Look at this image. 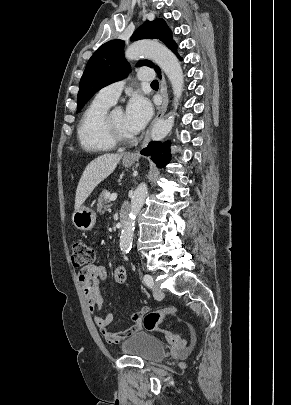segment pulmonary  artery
Here are the masks:
<instances>
[{
	"label": "pulmonary artery",
	"mask_w": 291,
	"mask_h": 405,
	"mask_svg": "<svg viewBox=\"0 0 291 405\" xmlns=\"http://www.w3.org/2000/svg\"><path fill=\"white\" fill-rule=\"evenodd\" d=\"M155 78V73L150 68H142L137 73V79L140 81H152ZM124 87V81H118L112 83L104 88H102L98 94L97 98L106 101L110 104H114L118 99L122 89Z\"/></svg>",
	"instance_id": "1"
}]
</instances>
